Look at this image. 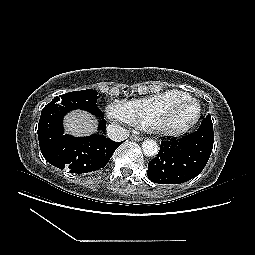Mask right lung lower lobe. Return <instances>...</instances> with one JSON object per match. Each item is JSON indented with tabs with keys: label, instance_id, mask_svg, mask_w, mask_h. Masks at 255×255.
<instances>
[{
	"label": "right lung lower lobe",
	"instance_id": "obj_1",
	"mask_svg": "<svg viewBox=\"0 0 255 255\" xmlns=\"http://www.w3.org/2000/svg\"><path fill=\"white\" fill-rule=\"evenodd\" d=\"M99 129L105 130V120L102 119ZM38 138L39 142L44 139L39 130ZM121 143L99 134L87 137L64 135L61 129L53 137L49 147L40 149L53 166L70 173L82 174L103 168Z\"/></svg>",
	"mask_w": 255,
	"mask_h": 255
}]
</instances>
